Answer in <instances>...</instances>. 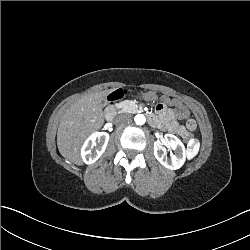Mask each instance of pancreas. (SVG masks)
<instances>
[{
    "mask_svg": "<svg viewBox=\"0 0 250 250\" xmlns=\"http://www.w3.org/2000/svg\"><path fill=\"white\" fill-rule=\"evenodd\" d=\"M135 107V103H133V102H131V103H129V107Z\"/></svg>",
    "mask_w": 250,
    "mask_h": 250,
    "instance_id": "cf45deb5",
    "label": "pancreas"
}]
</instances>
